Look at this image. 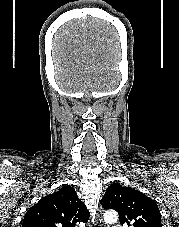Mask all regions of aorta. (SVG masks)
I'll return each mask as SVG.
<instances>
[{
    "instance_id": "aorta-1",
    "label": "aorta",
    "mask_w": 179,
    "mask_h": 227,
    "mask_svg": "<svg viewBox=\"0 0 179 227\" xmlns=\"http://www.w3.org/2000/svg\"><path fill=\"white\" fill-rule=\"evenodd\" d=\"M103 217L104 220L108 223H116L118 220V214L114 210L106 211Z\"/></svg>"
}]
</instances>
